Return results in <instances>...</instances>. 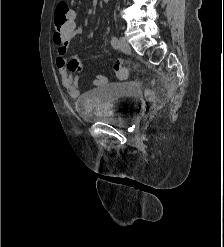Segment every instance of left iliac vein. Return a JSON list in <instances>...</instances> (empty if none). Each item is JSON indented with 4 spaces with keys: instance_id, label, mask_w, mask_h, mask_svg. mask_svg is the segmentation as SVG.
<instances>
[{
    "instance_id": "obj_1",
    "label": "left iliac vein",
    "mask_w": 224,
    "mask_h": 247,
    "mask_svg": "<svg viewBox=\"0 0 224 247\" xmlns=\"http://www.w3.org/2000/svg\"><path fill=\"white\" fill-rule=\"evenodd\" d=\"M118 48L126 54H129L131 52L130 45L125 37H120Z\"/></svg>"
}]
</instances>
